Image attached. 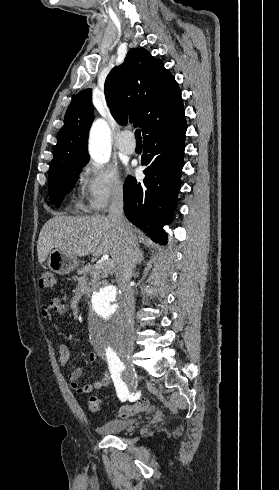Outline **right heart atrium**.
Masks as SVG:
<instances>
[{
	"instance_id": "1",
	"label": "right heart atrium",
	"mask_w": 279,
	"mask_h": 490,
	"mask_svg": "<svg viewBox=\"0 0 279 490\" xmlns=\"http://www.w3.org/2000/svg\"><path fill=\"white\" fill-rule=\"evenodd\" d=\"M87 214L99 216L111 202L121 200L125 185L119 172L111 167L88 163L79 174Z\"/></svg>"
}]
</instances>
